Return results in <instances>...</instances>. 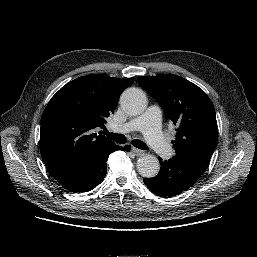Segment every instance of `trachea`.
<instances>
[{"mask_svg":"<svg viewBox=\"0 0 257 257\" xmlns=\"http://www.w3.org/2000/svg\"><path fill=\"white\" fill-rule=\"evenodd\" d=\"M108 138L112 139L113 141L119 143V144H124L126 143L127 139L125 137V135L123 134H117V133H110L108 132L107 130H104L103 132ZM132 145L139 148V149H142V150H147L148 147L147 145L141 141V140H133L132 141Z\"/></svg>","mask_w":257,"mask_h":257,"instance_id":"trachea-1","label":"trachea"}]
</instances>
